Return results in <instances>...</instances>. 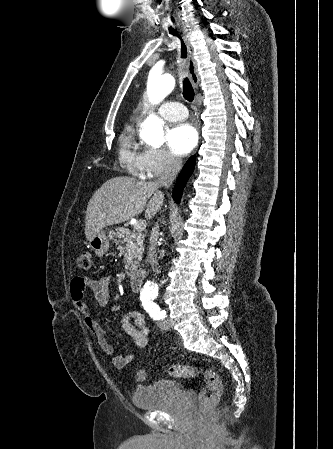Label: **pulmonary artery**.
<instances>
[{"mask_svg":"<svg viewBox=\"0 0 333 449\" xmlns=\"http://www.w3.org/2000/svg\"><path fill=\"white\" fill-rule=\"evenodd\" d=\"M158 113L168 121L182 120L187 117L185 106L179 102H164L158 108Z\"/></svg>","mask_w":333,"mask_h":449,"instance_id":"1","label":"pulmonary artery"}]
</instances>
